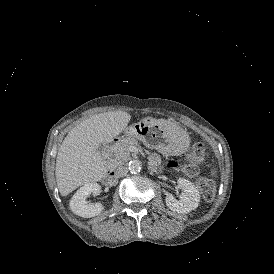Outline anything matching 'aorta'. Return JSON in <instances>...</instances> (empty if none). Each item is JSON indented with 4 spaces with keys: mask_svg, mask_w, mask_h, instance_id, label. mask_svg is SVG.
I'll list each match as a JSON object with an SVG mask.
<instances>
[{
    "mask_svg": "<svg viewBox=\"0 0 274 274\" xmlns=\"http://www.w3.org/2000/svg\"><path fill=\"white\" fill-rule=\"evenodd\" d=\"M128 166V169L132 174H137L141 170V162L139 160L130 161Z\"/></svg>",
    "mask_w": 274,
    "mask_h": 274,
    "instance_id": "obj_1",
    "label": "aorta"
}]
</instances>
